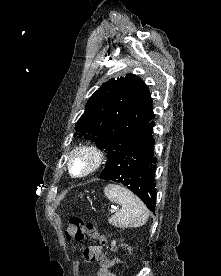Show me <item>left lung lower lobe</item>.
<instances>
[{"label":"left lung lower lobe","instance_id":"0a47b994","mask_svg":"<svg viewBox=\"0 0 221 276\" xmlns=\"http://www.w3.org/2000/svg\"><path fill=\"white\" fill-rule=\"evenodd\" d=\"M153 127L154 122H149L132 144L114 153L99 177L127 186L142 199L150 211L155 212L154 174L157 159L153 151Z\"/></svg>","mask_w":221,"mask_h":276}]
</instances>
